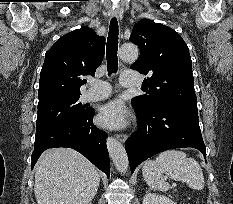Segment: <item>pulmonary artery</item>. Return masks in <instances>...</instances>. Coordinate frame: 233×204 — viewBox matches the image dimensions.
Here are the masks:
<instances>
[{"label": "pulmonary artery", "instance_id": "pulmonary-artery-1", "mask_svg": "<svg viewBox=\"0 0 233 204\" xmlns=\"http://www.w3.org/2000/svg\"><path fill=\"white\" fill-rule=\"evenodd\" d=\"M122 86L130 87L140 83L138 75L126 72L123 73L120 79ZM90 88L82 95L84 101H97L108 97L111 94V87L108 83L103 81L91 80L89 82Z\"/></svg>", "mask_w": 233, "mask_h": 204}]
</instances>
